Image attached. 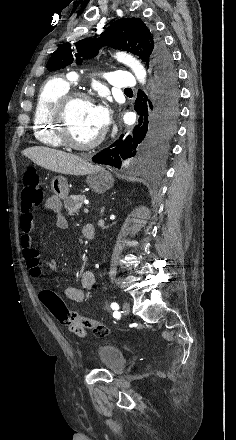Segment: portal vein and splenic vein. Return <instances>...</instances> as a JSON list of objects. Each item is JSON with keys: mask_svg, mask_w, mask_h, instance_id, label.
<instances>
[{"mask_svg": "<svg viewBox=\"0 0 236 440\" xmlns=\"http://www.w3.org/2000/svg\"><path fill=\"white\" fill-rule=\"evenodd\" d=\"M84 212H85V213H88V212H89V209H88L87 207H85V208H84Z\"/></svg>", "mask_w": 236, "mask_h": 440, "instance_id": "1", "label": "portal vein and splenic vein"}]
</instances>
